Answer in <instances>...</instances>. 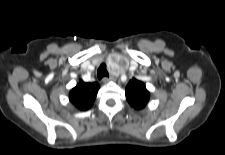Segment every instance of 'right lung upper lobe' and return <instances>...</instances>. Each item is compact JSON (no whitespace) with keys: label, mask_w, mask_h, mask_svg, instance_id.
Returning a JSON list of instances; mask_svg holds the SVG:
<instances>
[{"label":"right lung upper lobe","mask_w":225,"mask_h":155,"mask_svg":"<svg viewBox=\"0 0 225 155\" xmlns=\"http://www.w3.org/2000/svg\"><path fill=\"white\" fill-rule=\"evenodd\" d=\"M98 89V83H85L80 80L70 91L69 100L79 110L86 111L93 105Z\"/></svg>","instance_id":"cb5924a9"}]
</instances>
